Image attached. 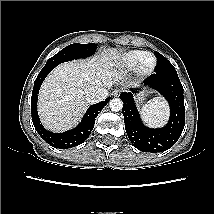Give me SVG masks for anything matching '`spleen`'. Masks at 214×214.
Here are the masks:
<instances>
[{
    "label": "spleen",
    "mask_w": 214,
    "mask_h": 214,
    "mask_svg": "<svg viewBox=\"0 0 214 214\" xmlns=\"http://www.w3.org/2000/svg\"><path fill=\"white\" fill-rule=\"evenodd\" d=\"M143 119L149 124L158 125L167 118V106L161 98L149 100L142 108Z\"/></svg>",
    "instance_id": "1"
}]
</instances>
